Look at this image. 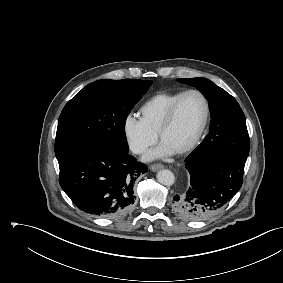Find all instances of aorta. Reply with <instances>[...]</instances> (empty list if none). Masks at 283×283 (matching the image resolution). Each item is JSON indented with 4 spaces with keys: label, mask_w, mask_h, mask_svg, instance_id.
<instances>
[{
    "label": "aorta",
    "mask_w": 283,
    "mask_h": 283,
    "mask_svg": "<svg viewBox=\"0 0 283 283\" xmlns=\"http://www.w3.org/2000/svg\"><path fill=\"white\" fill-rule=\"evenodd\" d=\"M157 180L165 186H171L174 184L175 177L170 170L163 169L157 173Z\"/></svg>",
    "instance_id": "aorta-1"
}]
</instances>
